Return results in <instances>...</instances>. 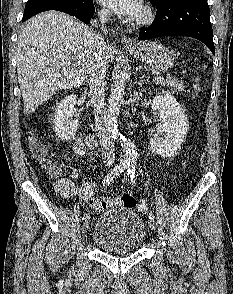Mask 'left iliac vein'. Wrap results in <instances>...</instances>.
<instances>
[{
	"mask_svg": "<svg viewBox=\"0 0 233 294\" xmlns=\"http://www.w3.org/2000/svg\"><path fill=\"white\" fill-rule=\"evenodd\" d=\"M149 226H150V228L152 229V230H155L156 229V222H155V220L154 219H151V218H149Z\"/></svg>",
	"mask_w": 233,
	"mask_h": 294,
	"instance_id": "4c4485c4",
	"label": "left iliac vein"
}]
</instances>
